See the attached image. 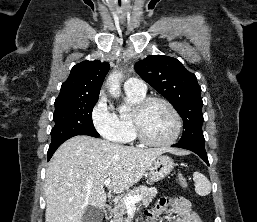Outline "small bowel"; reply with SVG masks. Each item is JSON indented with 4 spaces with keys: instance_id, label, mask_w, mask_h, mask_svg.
Segmentation results:
<instances>
[{
    "instance_id": "obj_1",
    "label": "small bowel",
    "mask_w": 257,
    "mask_h": 222,
    "mask_svg": "<svg viewBox=\"0 0 257 222\" xmlns=\"http://www.w3.org/2000/svg\"><path fill=\"white\" fill-rule=\"evenodd\" d=\"M166 211H172L176 215L174 222H203L192 211L190 202L183 197L161 198L153 210L146 212L147 222H154L157 216Z\"/></svg>"
}]
</instances>
